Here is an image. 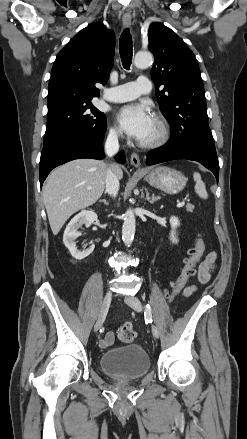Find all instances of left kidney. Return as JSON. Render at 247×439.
<instances>
[{
	"mask_svg": "<svg viewBox=\"0 0 247 439\" xmlns=\"http://www.w3.org/2000/svg\"><path fill=\"white\" fill-rule=\"evenodd\" d=\"M170 225H171V228H172V230L170 232V240L172 241V243H177L178 239L176 237V229H177V227L180 226L179 219L177 217H175V216H172L170 218Z\"/></svg>",
	"mask_w": 247,
	"mask_h": 439,
	"instance_id": "left-kidney-1",
	"label": "left kidney"
}]
</instances>
